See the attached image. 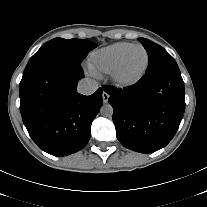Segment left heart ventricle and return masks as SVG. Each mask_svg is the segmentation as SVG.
<instances>
[{
    "mask_svg": "<svg viewBox=\"0 0 207 207\" xmlns=\"http://www.w3.org/2000/svg\"><path fill=\"white\" fill-rule=\"evenodd\" d=\"M145 64V53L144 51L137 47L134 48L128 57L126 58L121 71L120 76L125 79L135 77L141 72Z\"/></svg>",
    "mask_w": 207,
    "mask_h": 207,
    "instance_id": "1",
    "label": "left heart ventricle"
}]
</instances>
